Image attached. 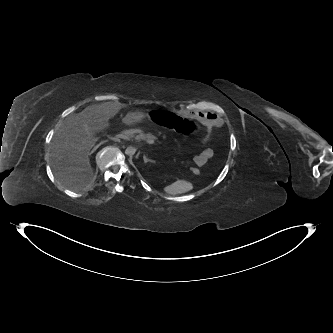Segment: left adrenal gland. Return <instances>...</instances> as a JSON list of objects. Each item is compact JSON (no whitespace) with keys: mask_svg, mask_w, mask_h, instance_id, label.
Masks as SVG:
<instances>
[{"mask_svg":"<svg viewBox=\"0 0 333 333\" xmlns=\"http://www.w3.org/2000/svg\"><path fill=\"white\" fill-rule=\"evenodd\" d=\"M144 164L146 165L148 162L154 163L153 160L148 159L145 155L143 156Z\"/></svg>","mask_w":333,"mask_h":333,"instance_id":"1","label":"left adrenal gland"}]
</instances>
